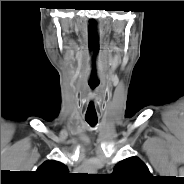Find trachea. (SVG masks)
<instances>
[{
    "label": "trachea",
    "instance_id": "trachea-1",
    "mask_svg": "<svg viewBox=\"0 0 184 184\" xmlns=\"http://www.w3.org/2000/svg\"><path fill=\"white\" fill-rule=\"evenodd\" d=\"M85 120L91 126H95L97 124V122H98L97 118H85Z\"/></svg>",
    "mask_w": 184,
    "mask_h": 184
}]
</instances>
